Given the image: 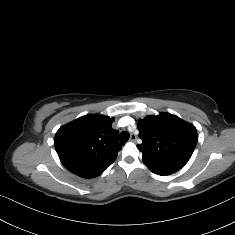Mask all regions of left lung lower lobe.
<instances>
[{
	"label": "left lung lower lobe",
	"instance_id": "0a47b994",
	"mask_svg": "<svg viewBox=\"0 0 235 235\" xmlns=\"http://www.w3.org/2000/svg\"><path fill=\"white\" fill-rule=\"evenodd\" d=\"M143 162L153 173L161 176L173 174L182 168L178 164L162 162L152 158L143 157Z\"/></svg>",
	"mask_w": 235,
	"mask_h": 235
}]
</instances>
